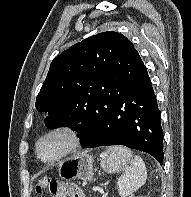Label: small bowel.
Here are the masks:
<instances>
[{"mask_svg":"<svg viewBox=\"0 0 191 197\" xmlns=\"http://www.w3.org/2000/svg\"><path fill=\"white\" fill-rule=\"evenodd\" d=\"M53 197H84L83 194L74 187H67L65 191L54 194Z\"/></svg>","mask_w":191,"mask_h":197,"instance_id":"1","label":"small bowel"}]
</instances>
